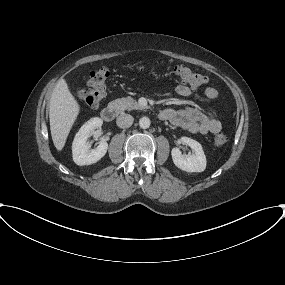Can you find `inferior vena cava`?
<instances>
[{"mask_svg":"<svg viewBox=\"0 0 285 285\" xmlns=\"http://www.w3.org/2000/svg\"><path fill=\"white\" fill-rule=\"evenodd\" d=\"M133 121L134 118L130 114L121 113L116 119V124L120 128H129Z\"/></svg>","mask_w":285,"mask_h":285,"instance_id":"602c4592","label":"inferior vena cava"}]
</instances>
